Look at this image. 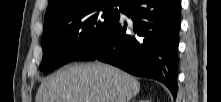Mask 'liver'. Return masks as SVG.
Here are the masks:
<instances>
[{
	"instance_id": "liver-1",
	"label": "liver",
	"mask_w": 221,
	"mask_h": 102,
	"mask_svg": "<svg viewBox=\"0 0 221 102\" xmlns=\"http://www.w3.org/2000/svg\"><path fill=\"white\" fill-rule=\"evenodd\" d=\"M139 91L136 78L96 62L67 67L43 81L36 102H130Z\"/></svg>"
}]
</instances>
